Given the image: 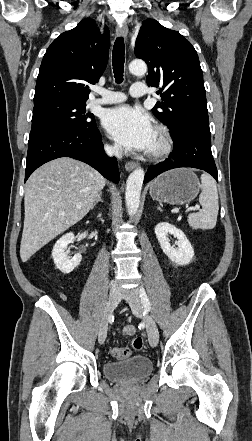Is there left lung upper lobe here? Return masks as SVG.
<instances>
[{"label":"left lung upper lobe","mask_w":252,"mask_h":441,"mask_svg":"<svg viewBox=\"0 0 252 441\" xmlns=\"http://www.w3.org/2000/svg\"><path fill=\"white\" fill-rule=\"evenodd\" d=\"M135 55L148 65V85L160 87L163 101L152 111L170 129L171 136L189 121L209 124L199 58L187 39L147 19L139 30Z\"/></svg>","instance_id":"left-lung-upper-lobe-1"}]
</instances>
